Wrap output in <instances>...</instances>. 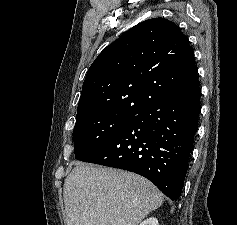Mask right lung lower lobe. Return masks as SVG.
Here are the masks:
<instances>
[{
  "label": "right lung lower lobe",
  "instance_id": "right-lung-lower-lobe-1",
  "mask_svg": "<svg viewBox=\"0 0 237 225\" xmlns=\"http://www.w3.org/2000/svg\"><path fill=\"white\" fill-rule=\"evenodd\" d=\"M200 95L197 85L145 106L113 137L80 160L135 172L176 201L198 129Z\"/></svg>",
  "mask_w": 237,
  "mask_h": 225
}]
</instances>
